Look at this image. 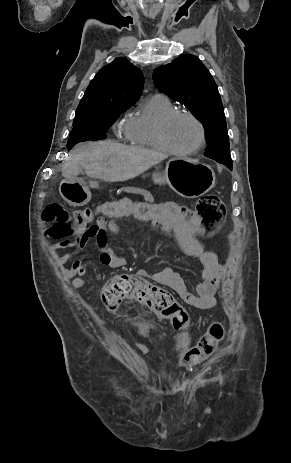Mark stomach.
I'll return each mask as SVG.
<instances>
[{
	"label": "stomach",
	"mask_w": 291,
	"mask_h": 463,
	"mask_svg": "<svg viewBox=\"0 0 291 463\" xmlns=\"http://www.w3.org/2000/svg\"><path fill=\"white\" fill-rule=\"evenodd\" d=\"M164 177L169 186L185 198H197L215 186L213 169L189 158H171L166 164ZM59 192L73 206H82L91 197L89 187L80 179L63 180Z\"/></svg>",
	"instance_id": "1"
}]
</instances>
